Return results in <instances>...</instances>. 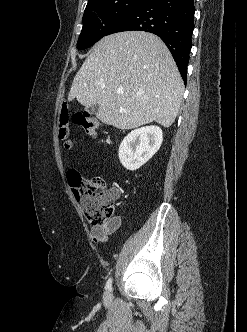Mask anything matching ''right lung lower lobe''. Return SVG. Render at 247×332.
I'll return each instance as SVG.
<instances>
[{
    "instance_id": "1",
    "label": "right lung lower lobe",
    "mask_w": 247,
    "mask_h": 332,
    "mask_svg": "<svg viewBox=\"0 0 247 332\" xmlns=\"http://www.w3.org/2000/svg\"><path fill=\"white\" fill-rule=\"evenodd\" d=\"M194 13V0H147L116 21L106 35L129 30L158 35L170 50L186 82Z\"/></svg>"
}]
</instances>
